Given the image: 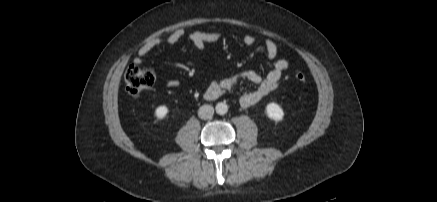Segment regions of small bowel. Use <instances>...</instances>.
Listing matches in <instances>:
<instances>
[{
  "instance_id": "obj_1",
  "label": "small bowel",
  "mask_w": 437,
  "mask_h": 202,
  "mask_svg": "<svg viewBox=\"0 0 437 202\" xmlns=\"http://www.w3.org/2000/svg\"><path fill=\"white\" fill-rule=\"evenodd\" d=\"M184 36V29L179 28L175 29L167 36L158 37L147 41L138 50L137 55L134 58V62L136 64H141L144 57L154 49L162 46L173 45L181 40ZM188 38L197 49L203 50L207 43L216 42L222 39L223 34L219 32H204L195 30L188 34ZM242 41L245 45H256L262 48L267 58L273 61L272 69L265 77H262L254 70H247L230 77L215 80L208 87L206 91V97L211 100L217 99L222 94L236 86L239 81H249L256 84L257 87L254 90L245 92L240 97L241 106L244 108H249L277 89L283 72L288 68V61L282 58H277L278 46L271 39H266L263 43H260L254 36L245 35ZM166 85L168 87H178L179 82L176 80H169L166 82Z\"/></svg>"
}]
</instances>
